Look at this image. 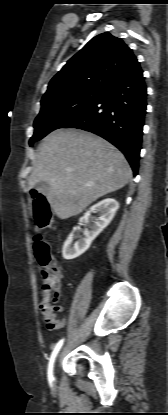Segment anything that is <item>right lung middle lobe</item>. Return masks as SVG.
Segmentation results:
<instances>
[{"label": "right lung middle lobe", "mask_w": 168, "mask_h": 415, "mask_svg": "<svg viewBox=\"0 0 168 415\" xmlns=\"http://www.w3.org/2000/svg\"><path fill=\"white\" fill-rule=\"evenodd\" d=\"M103 90L86 89L64 94L41 103V110L34 121V135L29 145L39 141L51 131L58 129L84 108L96 101Z\"/></svg>", "instance_id": "obj_1"}]
</instances>
